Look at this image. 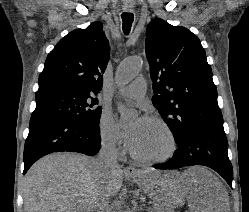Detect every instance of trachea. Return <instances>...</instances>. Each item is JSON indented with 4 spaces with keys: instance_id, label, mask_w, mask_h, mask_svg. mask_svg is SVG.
I'll return each instance as SVG.
<instances>
[{
    "instance_id": "trachea-1",
    "label": "trachea",
    "mask_w": 249,
    "mask_h": 212,
    "mask_svg": "<svg viewBox=\"0 0 249 212\" xmlns=\"http://www.w3.org/2000/svg\"><path fill=\"white\" fill-rule=\"evenodd\" d=\"M121 18L123 21V32L125 33V35H128L131 30L132 22L134 20V15L133 13H127L125 11L122 13Z\"/></svg>"
}]
</instances>
